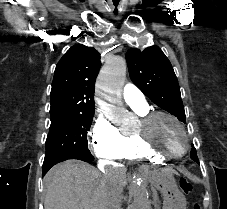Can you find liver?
<instances>
[{"label":"liver","mask_w":227,"mask_h":209,"mask_svg":"<svg viewBox=\"0 0 227 209\" xmlns=\"http://www.w3.org/2000/svg\"><path fill=\"white\" fill-rule=\"evenodd\" d=\"M116 173L98 169L82 161H66L47 173L45 209H106L108 183Z\"/></svg>","instance_id":"obj_1"}]
</instances>
